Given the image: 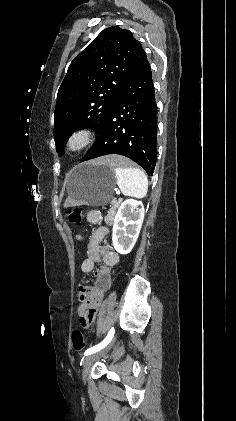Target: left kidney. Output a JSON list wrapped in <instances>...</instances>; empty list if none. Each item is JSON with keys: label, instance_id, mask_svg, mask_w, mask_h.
<instances>
[{"label": "left kidney", "instance_id": "1", "mask_svg": "<svg viewBox=\"0 0 236 421\" xmlns=\"http://www.w3.org/2000/svg\"><path fill=\"white\" fill-rule=\"evenodd\" d=\"M141 208H138V206ZM144 219V206L140 200L127 198L122 202L114 219L112 241L113 247L120 255L132 251L141 231Z\"/></svg>", "mask_w": 236, "mask_h": 421}]
</instances>
